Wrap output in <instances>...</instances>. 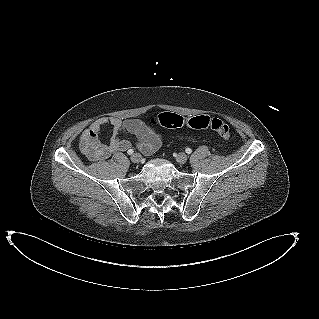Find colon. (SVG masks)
<instances>
[{"instance_id":"obj_1","label":"colon","mask_w":319,"mask_h":319,"mask_svg":"<svg viewBox=\"0 0 319 319\" xmlns=\"http://www.w3.org/2000/svg\"><path fill=\"white\" fill-rule=\"evenodd\" d=\"M150 123L154 126L165 128H178L187 125L193 129H210L223 139L231 137L230 127L224 121L207 115H199L185 120L176 113L162 112L153 117Z\"/></svg>"}]
</instances>
